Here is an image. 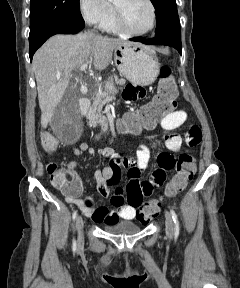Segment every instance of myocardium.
I'll return each instance as SVG.
<instances>
[{"mask_svg": "<svg viewBox=\"0 0 240 288\" xmlns=\"http://www.w3.org/2000/svg\"><path fill=\"white\" fill-rule=\"evenodd\" d=\"M146 2L149 4L151 11H152V24L149 29L142 31V32H137V31L130 29V27L128 26L126 22L123 11L114 4L116 22L122 32L132 35V36H144V35L151 33L156 28V24H157L156 6L152 0H146Z\"/></svg>", "mask_w": 240, "mask_h": 288, "instance_id": "myocardium-1", "label": "myocardium"}]
</instances>
